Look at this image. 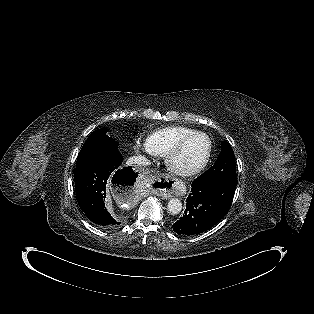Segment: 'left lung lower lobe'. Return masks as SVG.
<instances>
[{
    "mask_svg": "<svg viewBox=\"0 0 314 314\" xmlns=\"http://www.w3.org/2000/svg\"><path fill=\"white\" fill-rule=\"evenodd\" d=\"M237 180L211 179L192 182L183 217L172 225L179 235H194L211 229L228 212Z\"/></svg>",
    "mask_w": 314,
    "mask_h": 314,
    "instance_id": "left-lung-lower-lobe-1",
    "label": "left lung lower lobe"
}]
</instances>
